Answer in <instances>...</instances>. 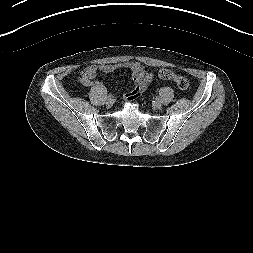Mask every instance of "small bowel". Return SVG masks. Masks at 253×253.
<instances>
[{
    "mask_svg": "<svg viewBox=\"0 0 253 253\" xmlns=\"http://www.w3.org/2000/svg\"><path fill=\"white\" fill-rule=\"evenodd\" d=\"M124 68L130 71V74L133 78H143L146 80L147 84L152 78V73L148 72L145 67L135 62H128L122 65ZM115 69L114 65L109 64H100V65H90L84 68L79 75L80 82L88 86L93 83L98 72L109 73Z\"/></svg>",
    "mask_w": 253,
    "mask_h": 253,
    "instance_id": "1",
    "label": "small bowel"
}]
</instances>
